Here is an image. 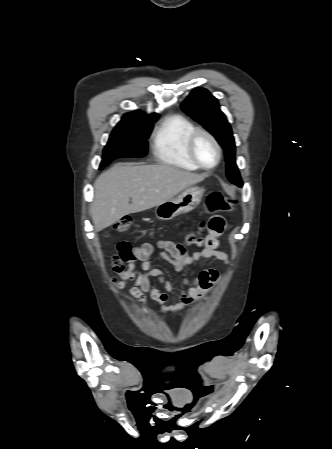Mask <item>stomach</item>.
I'll return each mask as SVG.
<instances>
[{
  "label": "stomach",
  "instance_id": "stomach-1",
  "mask_svg": "<svg viewBox=\"0 0 332 449\" xmlns=\"http://www.w3.org/2000/svg\"><path fill=\"white\" fill-rule=\"evenodd\" d=\"M204 189L192 186L185 189L176 198H172L155 208V215L161 220H171L176 216L188 213L201 202Z\"/></svg>",
  "mask_w": 332,
  "mask_h": 449
}]
</instances>
